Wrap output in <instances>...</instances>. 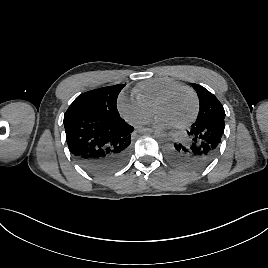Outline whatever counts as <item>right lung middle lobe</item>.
I'll return each instance as SVG.
<instances>
[{
  "label": "right lung middle lobe",
  "instance_id": "1",
  "mask_svg": "<svg viewBox=\"0 0 268 268\" xmlns=\"http://www.w3.org/2000/svg\"><path fill=\"white\" fill-rule=\"evenodd\" d=\"M125 84L103 87L79 95L64 115V120L78 113H94L105 117H118V94Z\"/></svg>",
  "mask_w": 268,
  "mask_h": 268
}]
</instances>
